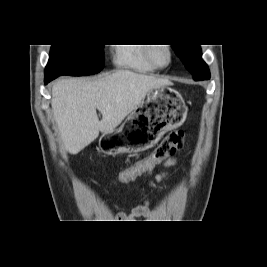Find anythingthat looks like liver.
<instances>
[{"label":"liver","instance_id":"6515ba94","mask_svg":"<svg viewBox=\"0 0 267 267\" xmlns=\"http://www.w3.org/2000/svg\"><path fill=\"white\" fill-rule=\"evenodd\" d=\"M172 82L120 70L102 78L62 79L52 87V111L65 149L77 154L99 132L110 133L133 112L146 94ZM96 109L102 114L99 121Z\"/></svg>","mask_w":267,"mask_h":267}]
</instances>
